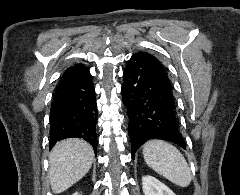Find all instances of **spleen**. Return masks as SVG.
Instances as JSON below:
<instances>
[{
	"label": "spleen",
	"mask_w": 240,
	"mask_h": 195,
	"mask_svg": "<svg viewBox=\"0 0 240 195\" xmlns=\"http://www.w3.org/2000/svg\"><path fill=\"white\" fill-rule=\"evenodd\" d=\"M143 157L152 169L180 187H187L192 179L191 169L181 151L163 139H150L143 145Z\"/></svg>",
	"instance_id": "3e777b00"
}]
</instances>
